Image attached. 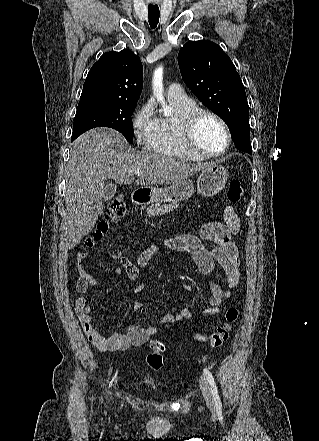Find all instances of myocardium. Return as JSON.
<instances>
[{
	"instance_id": "obj_1",
	"label": "myocardium",
	"mask_w": 319,
	"mask_h": 441,
	"mask_svg": "<svg viewBox=\"0 0 319 441\" xmlns=\"http://www.w3.org/2000/svg\"><path fill=\"white\" fill-rule=\"evenodd\" d=\"M204 117H210L213 118L215 121H217L222 129L225 132L226 135V145L225 147L218 151V152H208L203 150L199 147V145L196 142V130L200 123V121ZM181 137L184 146L193 154L202 157V158H214L223 155L228 151V149L231 146L232 143V135L231 131L225 122V120L216 114L215 112L203 109V108H196L189 112L187 115L184 116L181 123Z\"/></svg>"
}]
</instances>
